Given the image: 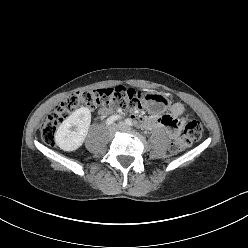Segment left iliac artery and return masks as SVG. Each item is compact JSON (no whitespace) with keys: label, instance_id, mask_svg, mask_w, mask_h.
Listing matches in <instances>:
<instances>
[{"label":"left iliac artery","instance_id":"44dca946","mask_svg":"<svg viewBox=\"0 0 248 248\" xmlns=\"http://www.w3.org/2000/svg\"><path fill=\"white\" fill-rule=\"evenodd\" d=\"M125 123H126L127 125H130V126L133 125V122H132L131 120H129V119H126V120H125Z\"/></svg>","mask_w":248,"mask_h":248}]
</instances>
